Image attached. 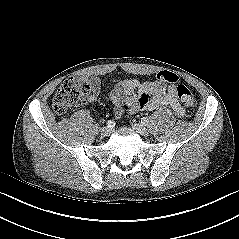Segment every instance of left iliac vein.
I'll return each instance as SVG.
<instances>
[{
  "label": "left iliac vein",
  "instance_id": "1",
  "mask_svg": "<svg viewBox=\"0 0 239 239\" xmlns=\"http://www.w3.org/2000/svg\"><path fill=\"white\" fill-rule=\"evenodd\" d=\"M133 129L142 136H147L149 134L148 129L140 123H135Z\"/></svg>",
  "mask_w": 239,
  "mask_h": 239
}]
</instances>
